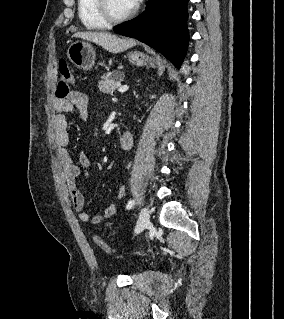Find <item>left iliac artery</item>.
Returning a JSON list of instances; mask_svg holds the SVG:
<instances>
[{"label":"left iliac artery","instance_id":"obj_1","mask_svg":"<svg viewBox=\"0 0 284 319\" xmlns=\"http://www.w3.org/2000/svg\"><path fill=\"white\" fill-rule=\"evenodd\" d=\"M135 204V201L134 200H130L128 201L127 205H126V209L129 210L131 209Z\"/></svg>","mask_w":284,"mask_h":319}]
</instances>
